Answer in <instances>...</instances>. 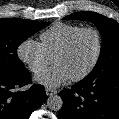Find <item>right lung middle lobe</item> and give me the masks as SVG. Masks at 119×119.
<instances>
[{
    "instance_id": "right-lung-middle-lobe-1",
    "label": "right lung middle lobe",
    "mask_w": 119,
    "mask_h": 119,
    "mask_svg": "<svg viewBox=\"0 0 119 119\" xmlns=\"http://www.w3.org/2000/svg\"><path fill=\"white\" fill-rule=\"evenodd\" d=\"M49 25L24 19H0V74L20 73L25 69L17 56L18 46L35 32Z\"/></svg>"
}]
</instances>
